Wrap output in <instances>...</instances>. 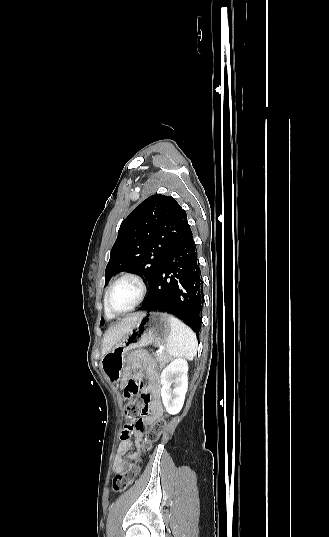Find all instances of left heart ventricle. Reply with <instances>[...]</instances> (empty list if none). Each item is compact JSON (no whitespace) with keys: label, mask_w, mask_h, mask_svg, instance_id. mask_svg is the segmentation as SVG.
I'll return each instance as SVG.
<instances>
[{"label":"left heart ventricle","mask_w":329,"mask_h":537,"mask_svg":"<svg viewBox=\"0 0 329 537\" xmlns=\"http://www.w3.org/2000/svg\"><path fill=\"white\" fill-rule=\"evenodd\" d=\"M139 295L140 288L135 281L130 279L123 280L111 293V307L117 312L125 311L132 307L139 298Z\"/></svg>","instance_id":"obj_1"}]
</instances>
